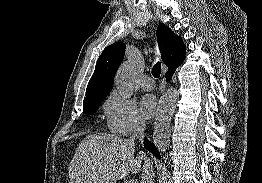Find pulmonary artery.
<instances>
[{"instance_id": "pulmonary-artery-1", "label": "pulmonary artery", "mask_w": 262, "mask_h": 183, "mask_svg": "<svg viewBox=\"0 0 262 183\" xmlns=\"http://www.w3.org/2000/svg\"><path fill=\"white\" fill-rule=\"evenodd\" d=\"M140 85L146 91H150L155 88L154 80L150 76L143 77L140 82Z\"/></svg>"}]
</instances>
